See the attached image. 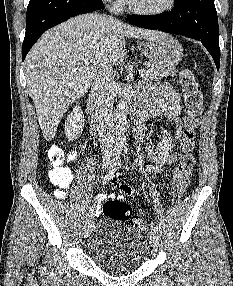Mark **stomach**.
<instances>
[{
  "mask_svg": "<svg viewBox=\"0 0 233 286\" xmlns=\"http://www.w3.org/2000/svg\"><path fill=\"white\" fill-rule=\"evenodd\" d=\"M139 50L150 63L164 68H174L183 57V48L168 34L147 43H140Z\"/></svg>",
  "mask_w": 233,
  "mask_h": 286,
  "instance_id": "obj_1",
  "label": "stomach"
}]
</instances>
